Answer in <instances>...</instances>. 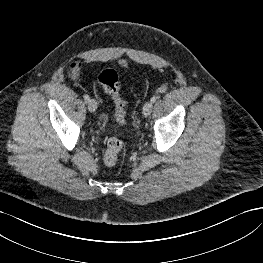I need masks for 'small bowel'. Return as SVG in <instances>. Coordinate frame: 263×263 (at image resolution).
I'll list each match as a JSON object with an SVG mask.
<instances>
[{
    "label": "small bowel",
    "instance_id": "c3829d8e",
    "mask_svg": "<svg viewBox=\"0 0 263 263\" xmlns=\"http://www.w3.org/2000/svg\"><path fill=\"white\" fill-rule=\"evenodd\" d=\"M80 71H81V64L79 62H73L69 67L70 76L76 82H81Z\"/></svg>",
    "mask_w": 263,
    "mask_h": 263
}]
</instances>
